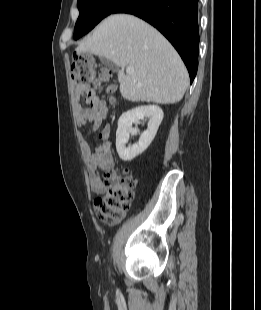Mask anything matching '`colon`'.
Here are the masks:
<instances>
[{
  "mask_svg": "<svg viewBox=\"0 0 261 310\" xmlns=\"http://www.w3.org/2000/svg\"><path fill=\"white\" fill-rule=\"evenodd\" d=\"M71 78L77 85L100 84L108 82L111 72L98 67L95 59L88 53L74 54L70 67ZM111 86L107 92H112ZM105 192L94 202L95 213L100 221L112 225L117 223L128 209L133 198L136 180L125 170L122 173L107 172L103 176Z\"/></svg>",
  "mask_w": 261,
  "mask_h": 310,
  "instance_id": "5ec220e1",
  "label": "colon"
}]
</instances>
